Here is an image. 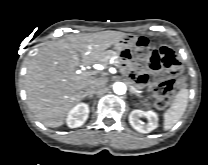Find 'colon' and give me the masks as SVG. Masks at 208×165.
I'll return each instance as SVG.
<instances>
[{
	"instance_id": "5ec220e1",
	"label": "colon",
	"mask_w": 208,
	"mask_h": 165,
	"mask_svg": "<svg viewBox=\"0 0 208 165\" xmlns=\"http://www.w3.org/2000/svg\"><path fill=\"white\" fill-rule=\"evenodd\" d=\"M134 51L139 56L140 62L145 63L150 69L157 70L163 67L169 71L166 77L151 78V85L157 96L156 106L161 110L166 109L175 91L182 85L178 76L182 69L180 61L170 48L162 46L154 49L144 37L138 38Z\"/></svg>"
}]
</instances>
